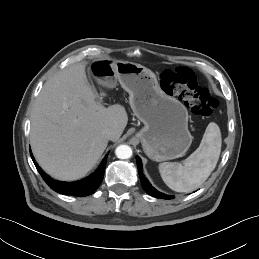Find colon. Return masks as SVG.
Masks as SVG:
<instances>
[{"label": "colon", "mask_w": 259, "mask_h": 259, "mask_svg": "<svg viewBox=\"0 0 259 259\" xmlns=\"http://www.w3.org/2000/svg\"><path fill=\"white\" fill-rule=\"evenodd\" d=\"M161 87L170 95L184 102L191 112L202 118H209L217 108V101L207 89L201 87L194 72L187 67L164 70Z\"/></svg>", "instance_id": "colon-1"}]
</instances>
